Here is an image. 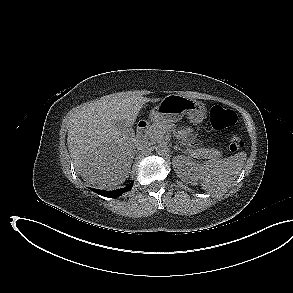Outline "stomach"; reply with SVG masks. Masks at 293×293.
Masks as SVG:
<instances>
[{
	"label": "stomach",
	"mask_w": 293,
	"mask_h": 293,
	"mask_svg": "<svg viewBox=\"0 0 293 293\" xmlns=\"http://www.w3.org/2000/svg\"><path fill=\"white\" fill-rule=\"evenodd\" d=\"M206 108L202 102L192 98L171 94L161 100L149 114L152 122H177L187 115L192 124L201 123L206 117Z\"/></svg>",
	"instance_id": "1"
}]
</instances>
